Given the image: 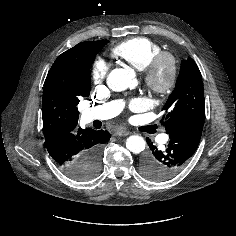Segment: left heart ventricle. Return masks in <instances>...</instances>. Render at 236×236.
<instances>
[{
	"label": "left heart ventricle",
	"instance_id": "left-heart-ventricle-1",
	"mask_svg": "<svg viewBox=\"0 0 236 236\" xmlns=\"http://www.w3.org/2000/svg\"><path fill=\"white\" fill-rule=\"evenodd\" d=\"M166 73H167V69H166V68H164V69H163V71H162V74H163V76H165V75H166Z\"/></svg>",
	"mask_w": 236,
	"mask_h": 236
}]
</instances>
